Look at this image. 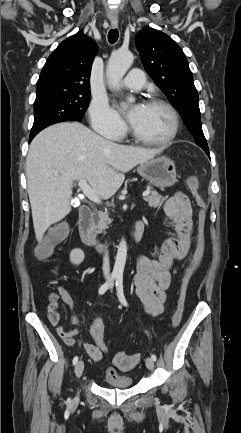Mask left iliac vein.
I'll list each match as a JSON object with an SVG mask.
<instances>
[{"label": "left iliac vein", "instance_id": "1", "mask_svg": "<svg viewBox=\"0 0 241 433\" xmlns=\"http://www.w3.org/2000/svg\"><path fill=\"white\" fill-rule=\"evenodd\" d=\"M145 363H146V367L149 370H153V368H154V361L152 360V358L147 357Z\"/></svg>", "mask_w": 241, "mask_h": 433}]
</instances>
